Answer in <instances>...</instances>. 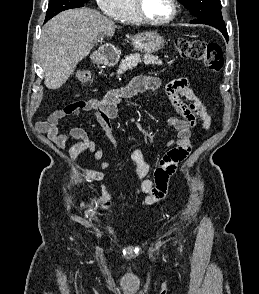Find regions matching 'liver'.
<instances>
[{
	"instance_id": "obj_1",
	"label": "liver",
	"mask_w": 259,
	"mask_h": 294,
	"mask_svg": "<svg viewBox=\"0 0 259 294\" xmlns=\"http://www.w3.org/2000/svg\"><path fill=\"white\" fill-rule=\"evenodd\" d=\"M115 23L90 8L64 11L42 28L39 59L44 71L45 86L60 88L72 75L100 36H112Z\"/></svg>"
}]
</instances>
